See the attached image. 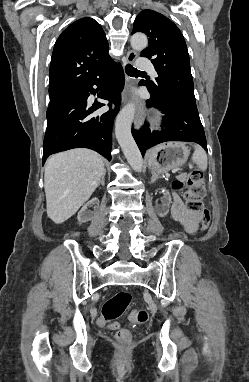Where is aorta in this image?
I'll return each mask as SVG.
<instances>
[{"label": "aorta", "instance_id": "aorta-1", "mask_svg": "<svg viewBox=\"0 0 249 382\" xmlns=\"http://www.w3.org/2000/svg\"><path fill=\"white\" fill-rule=\"evenodd\" d=\"M130 42L132 48L137 51L145 49L148 44L147 37L143 33L134 34ZM134 114V103L126 105L119 112L115 122V135L130 166L135 171L140 172L143 167V158L131 133Z\"/></svg>", "mask_w": 249, "mask_h": 382}]
</instances>
